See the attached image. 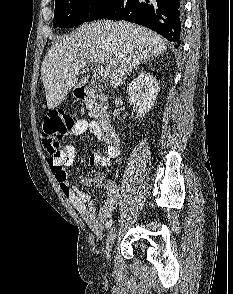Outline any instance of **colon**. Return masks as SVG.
<instances>
[{
  "instance_id": "colon-1",
  "label": "colon",
  "mask_w": 233,
  "mask_h": 294,
  "mask_svg": "<svg viewBox=\"0 0 233 294\" xmlns=\"http://www.w3.org/2000/svg\"><path fill=\"white\" fill-rule=\"evenodd\" d=\"M74 118L63 109L49 111L41 126L42 142L51 157L60 156V141L74 126ZM94 184V180H87Z\"/></svg>"
}]
</instances>
